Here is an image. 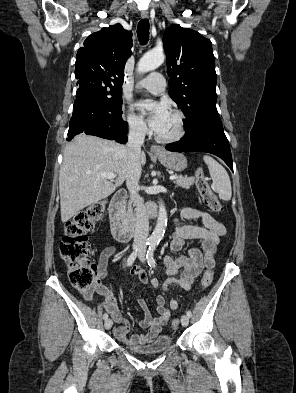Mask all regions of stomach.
<instances>
[{"mask_svg": "<svg viewBox=\"0 0 296 393\" xmlns=\"http://www.w3.org/2000/svg\"><path fill=\"white\" fill-rule=\"evenodd\" d=\"M156 157L164 167L172 171L180 172L187 167V159L181 153L163 151Z\"/></svg>", "mask_w": 296, "mask_h": 393, "instance_id": "0dacf381", "label": "stomach"}]
</instances>
